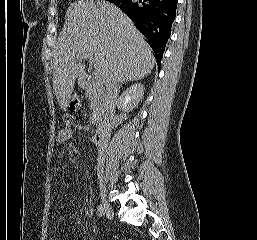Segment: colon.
Returning a JSON list of instances; mask_svg holds the SVG:
<instances>
[{
  "mask_svg": "<svg viewBox=\"0 0 257 240\" xmlns=\"http://www.w3.org/2000/svg\"><path fill=\"white\" fill-rule=\"evenodd\" d=\"M82 106V97L79 94H74L70 100V108L72 110H78Z\"/></svg>",
  "mask_w": 257,
  "mask_h": 240,
  "instance_id": "colon-1",
  "label": "colon"
}]
</instances>
